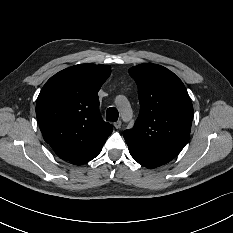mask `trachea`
Returning a JSON list of instances; mask_svg holds the SVG:
<instances>
[{"label":"trachea","instance_id":"3493384b","mask_svg":"<svg viewBox=\"0 0 233 233\" xmlns=\"http://www.w3.org/2000/svg\"><path fill=\"white\" fill-rule=\"evenodd\" d=\"M118 110L115 107H110L106 111V120L116 122L118 120Z\"/></svg>","mask_w":233,"mask_h":233}]
</instances>
